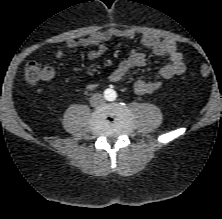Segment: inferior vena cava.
Returning a JSON list of instances; mask_svg holds the SVG:
<instances>
[{"label":"inferior vena cava","mask_w":222,"mask_h":219,"mask_svg":"<svg viewBox=\"0 0 222 219\" xmlns=\"http://www.w3.org/2000/svg\"><path fill=\"white\" fill-rule=\"evenodd\" d=\"M104 102V99L102 97L101 94H94L92 95V97L90 98V103L92 106H97L100 105Z\"/></svg>","instance_id":"1"}]
</instances>
